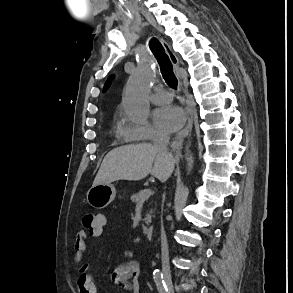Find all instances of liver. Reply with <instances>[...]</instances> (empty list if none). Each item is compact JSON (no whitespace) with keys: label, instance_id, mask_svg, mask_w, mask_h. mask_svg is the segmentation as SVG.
Instances as JSON below:
<instances>
[{"label":"liver","instance_id":"1","mask_svg":"<svg viewBox=\"0 0 293 293\" xmlns=\"http://www.w3.org/2000/svg\"><path fill=\"white\" fill-rule=\"evenodd\" d=\"M174 166V157L161 154L152 144L121 146L105 156L93 186L118 180L138 181L148 174L165 181L173 173Z\"/></svg>","mask_w":293,"mask_h":293}]
</instances>
